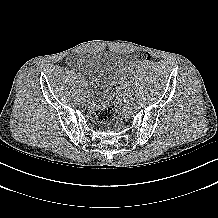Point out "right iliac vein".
<instances>
[{"label": "right iliac vein", "instance_id": "right-iliac-vein-1", "mask_svg": "<svg viewBox=\"0 0 218 218\" xmlns=\"http://www.w3.org/2000/svg\"><path fill=\"white\" fill-rule=\"evenodd\" d=\"M79 90H84V85H79Z\"/></svg>", "mask_w": 218, "mask_h": 218}]
</instances>
